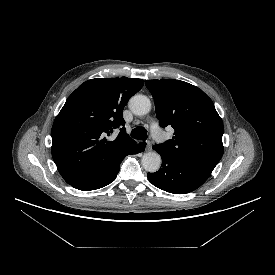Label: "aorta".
<instances>
[{
  "label": "aorta",
  "mask_w": 275,
  "mask_h": 275,
  "mask_svg": "<svg viewBox=\"0 0 275 275\" xmlns=\"http://www.w3.org/2000/svg\"><path fill=\"white\" fill-rule=\"evenodd\" d=\"M129 108L135 115H145L151 110V101L147 96L135 95L129 101ZM141 162L147 172L154 173L161 166V157L157 152H147Z\"/></svg>",
  "instance_id": "obj_1"
}]
</instances>
